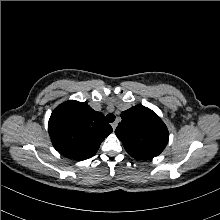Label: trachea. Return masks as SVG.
Wrapping results in <instances>:
<instances>
[{"label": "trachea", "instance_id": "3493384b", "mask_svg": "<svg viewBox=\"0 0 220 220\" xmlns=\"http://www.w3.org/2000/svg\"><path fill=\"white\" fill-rule=\"evenodd\" d=\"M106 120H107L109 123L114 122V120H115V115L112 114V113L107 114V115H106Z\"/></svg>", "mask_w": 220, "mask_h": 220}]
</instances>
